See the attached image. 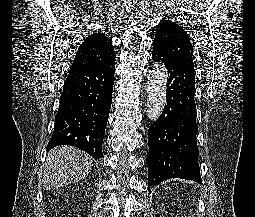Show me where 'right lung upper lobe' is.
I'll use <instances>...</instances> for the list:
<instances>
[{
	"instance_id": "right-lung-upper-lobe-1",
	"label": "right lung upper lobe",
	"mask_w": 255,
	"mask_h": 217,
	"mask_svg": "<svg viewBox=\"0 0 255 217\" xmlns=\"http://www.w3.org/2000/svg\"><path fill=\"white\" fill-rule=\"evenodd\" d=\"M116 53L112 41L97 32L89 35L79 46L71 68L103 66L115 61Z\"/></svg>"
}]
</instances>
